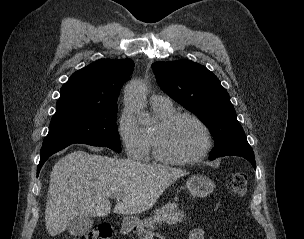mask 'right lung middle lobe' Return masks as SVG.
Returning a JSON list of instances; mask_svg holds the SVG:
<instances>
[{
	"instance_id": "right-lung-middle-lobe-1",
	"label": "right lung middle lobe",
	"mask_w": 304,
	"mask_h": 239,
	"mask_svg": "<svg viewBox=\"0 0 304 239\" xmlns=\"http://www.w3.org/2000/svg\"><path fill=\"white\" fill-rule=\"evenodd\" d=\"M117 105L56 112L42 148L83 143L121 151L116 125Z\"/></svg>"
}]
</instances>
